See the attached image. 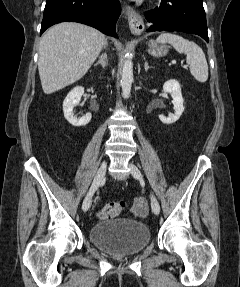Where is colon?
<instances>
[{
    "label": "colon",
    "instance_id": "1",
    "mask_svg": "<svg viewBox=\"0 0 240 287\" xmlns=\"http://www.w3.org/2000/svg\"><path fill=\"white\" fill-rule=\"evenodd\" d=\"M125 203L123 201H115L107 204L99 213L102 220H109L118 216L124 209Z\"/></svg>",
    "mask_w": 240,
    "mask_h": 287
}]
</instances>
